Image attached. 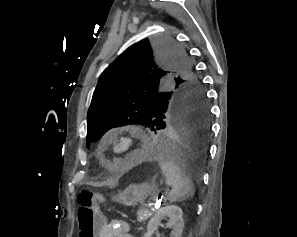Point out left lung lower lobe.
I'll return each mask as SVG.
<instances>
[{
    "label": "left lung lower lobe",
    "instance_id": "0a47b994",
    "mask_svg": "<svg viewBox=\"0 0 297 237\" xmlns=\"http://www.w3.org/2000/svg\"><path fill=\"white\" fill-rule=\"evenodd\" d=\"M210 133L208 103L178 101L170 107L144 152L197 167L206 156Z\"/></svg>",
    "mask_w": 297,
    "mask_h": 237
}]
</instances>
